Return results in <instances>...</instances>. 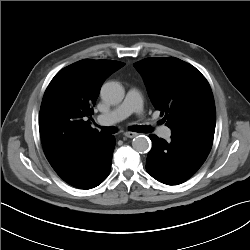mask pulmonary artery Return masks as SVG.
Listing matches in <instances>:
<instances>
[{"instance_id": "e3ab8cb5", "label": "pulmonary artery", "mask_w": 250, "mask_h": 250, "mask_svg": "<svg viewBox=\"0 0 250 250\" xmlns=\"http://www.w3.org/2000/svg\"><path fill=\"white\" fill-rule=\"evenodd\" d=\"M143 111L141 92L137 88L129 89L125 100L113 110L99 114L96 120L101 125H111L127 118L132 113L140 114ZM157 134L169 139L171 136V129L167 126H160L157 128Z\"/></svg>"}]
</instances>
